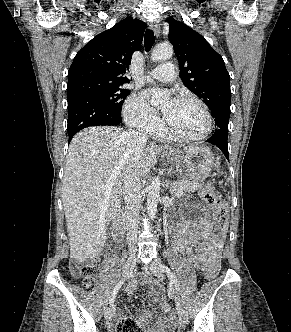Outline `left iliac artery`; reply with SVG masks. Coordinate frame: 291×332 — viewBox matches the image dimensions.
<instances>
[{
  "instance_id": "left-iliac-artery-1",
  "label": "left iliac artery",
  "mask_w": 291,
  "mask_h": 332,
  "mask_svg": "<svg viewBox=\"0 0 291 332\" xmlns=\"http://www.w3.org/2000/svg\"><path fill=\"white\" fill-rule=\"evenodd\" d=\"M161 268L163 270V272H165L167 274V276L169 277L170 281L174 283L177 291L180 290V287H179V283H178V279L176 277V275L170 270L169 267H167L166 265H161Z\"/></svg>"
}]
</instances>
